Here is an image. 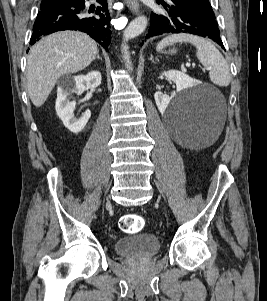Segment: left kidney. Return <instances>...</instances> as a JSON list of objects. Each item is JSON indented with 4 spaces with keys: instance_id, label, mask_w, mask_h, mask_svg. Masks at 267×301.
Returning a JSON list of instances; mask_svg holds the SVG:
<instances>
[{
    "instance_id": "1",
    "label": "left kidney",
    "mask_w": 267,
    "mask_h": 301,
    "mask_svg": "<svg viewBox=\"0 0 267 301\" xmlns=\"http://www.w3.org/2000/svg\"><path fill=\"white\" fill-rule=\"evenodd\" d=\"M162 76H165L169 80L173 81L177 86V91L192 88L194 86V83L196 82L188 75L177 70L166 71L162 73ZM154 98L158 109L163 112L166 110L172 100V97H169L168 95L161 92H156Z\"/></svg>"
}]
</instances>
